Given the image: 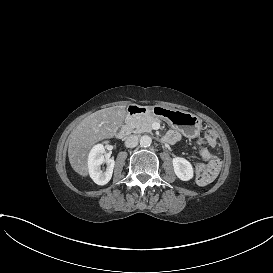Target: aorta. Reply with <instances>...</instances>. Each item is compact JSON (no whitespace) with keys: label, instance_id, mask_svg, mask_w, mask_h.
<instances>
[{"label":"aorta","instance_id":"obj_1","mask_svg":"<svg viewBox=\"0 0 273 273\" xmlns=\"http://www.w3.org/2000/svg\"><path fill=\"white\" fill-rule=\"evenodd\" d=\"M152 139L148 135H144L140 138V145L142 147H149L151 145Z\"/></svg>","mask_w":273,"mask_h":273}]
</instances>
